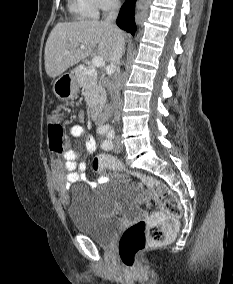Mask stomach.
Wrapping results in <instances>:
<instances>
[{"instance_id": "stomach-1", "label": "stomach", "mask_w": 233, "mask_h": 284, "mask_svg": "<svg viewBox=\"0 0 233 284\" xmlns=\"http://www.w3.org/2000/svg\"><path fill=\"white\" fill-rule=\"evenodd\" d=\"M79 74H63L53 84L54 94L61 100L75 97L80 87Z\"/></svg>"}]
</instances>
